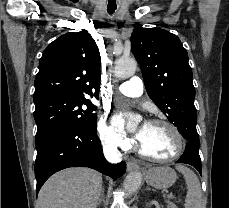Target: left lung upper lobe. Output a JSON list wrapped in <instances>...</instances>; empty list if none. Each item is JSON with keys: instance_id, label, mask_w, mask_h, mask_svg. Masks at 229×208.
Segmentation results:
<instances>
[{"instance_id": "1", "label": "left lung upper lobe", "mask_w": 229, "mask_h": 208, "mask_svg": "<svg viewBox=\"0 0 229 208\" xmlns=\"http://www.w3.org/2000/svg\"><path fill=\"white\" fill-rule=\"evenodd\" d=\"M130 40L149 97L181 134L196 129L193 75L180 39L164 29L137 26Z\"/></svg>"}]
</instances>
